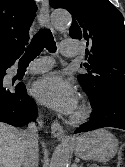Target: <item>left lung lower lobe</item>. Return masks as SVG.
Here are the masks:
<instances>
[{
	"label": "left lung lower lobe",
	"mask_w": 125,
	"mask_h": 167,
	"mask_svg": "<svg viewBox=\"0 0 125 167\" xmlns=\"http://www.w3.org/2000/svg\"><path fill=\"white\" fill-rule=\"evenodd\" d=\"M91 106L94 110L91 120L77 128L75 133L103 127L125 130V90L105 91Z\"/></svg>",
	"instance_id": "0a47b994"
}]
</instances>
